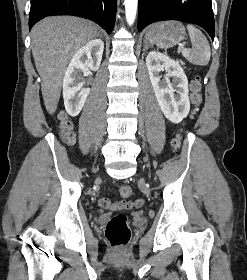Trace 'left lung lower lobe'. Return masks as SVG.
<instances>
[{
  "instance_id": "1",
  "label": "left lung lower lobe",
  "mask_w": 247,
  "mask_h": 280,
  "mask_svg": "<svg viewBox=\"0 0 247 280\" xmlns=\"http://www.w3.org/2000/svg\"><path fill=\"white\" fill-rule=\"evenodd\" d=\"M162 20L197 24L214 39L215 25L211 0H139V32L150 23Z\"/></svg>"
}]
</instances>
